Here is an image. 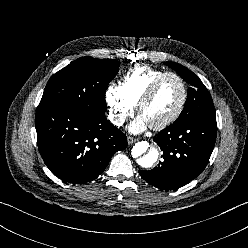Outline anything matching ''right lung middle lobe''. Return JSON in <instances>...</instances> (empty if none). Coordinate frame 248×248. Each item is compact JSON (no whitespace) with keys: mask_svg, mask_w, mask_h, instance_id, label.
<instances>
[{"mask_svg":"<svg viewBox=\"0 0 248 248\" xmlns=\"http://www.w3.org/2000/svg\"><path fill=\"white\" fill-rule=\"evenodd\" d=\"M120 63L113 59L81 57L48 81L39 106L62 105L92 114H104L105 92Z\"/></svg>","mask_w":248,"mask_h":248,"instance_id":"dd1d6c3e","label":"right lung middle lobe"}]
</instances>
